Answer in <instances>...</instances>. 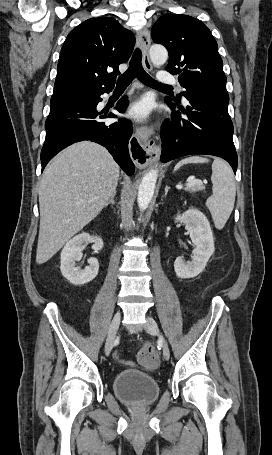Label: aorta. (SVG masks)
Returning a JSON list of instances; mask_svg holds the SVG:
<instances>
[{
    "label": "aorta",
    "mask_w": 272,
    "mask_h": 455,
    "mask_svg": "<svg viewBox=\"0 0 272 455\" xmlns=\"http://www.w3.org/2000/svg\"><path fill=\"white\" fill-rule=\"evenodd\" d=\"M149 53L152 63L156 66L163 65L168 59V52L166 48L161 45L151 46ZM157 178L158 170L152 169L145 174L140 183L137 202L141 212H144L147 209L153 198Z\"/></svg>",
    "instance_id": "aorta-1"
}]
</instances>
